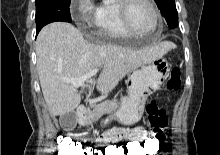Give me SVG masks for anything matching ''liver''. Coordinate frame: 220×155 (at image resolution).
<instances>
[{
	"instance_id": "liver-1",
	"label": "liver",
	"mask_w": 220,
	"mask_h": 155,
	"mask_svg": "<svg viewBox=\"0 0 220 155\" xmlns=\"http://www.w3.org/2000/svg\"><path fill=\"white\" fill-rule=\"evenodd\" d=\"M173 48L170 43L134 50L115 45L87 42L72 24L54 22L45 26L36 40L37 71L46 104L53 116L76 109L81 96L64 78H79L95 68L102 71L94 81L97 91L106 94L120 80L144 63L162 57Z\"/></svg>"
}]
</instances>
